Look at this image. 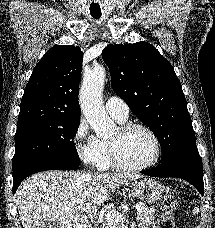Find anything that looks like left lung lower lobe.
I'll return each mask as SVG.
<instances>
[{"label":"left lung lower lobe","mask_w":215,"mask_h":228,"mask_svg":"<svg viewBox=\"0 0 215 228\" xmlns=\"http://www.w3.org/2000/svg\"><path fill=\"white\" fill-rule=\"evenodd\" d=\"M154 177L181 178L197 188L204 195L202 161L196 145L189 146L163 160L157 167L141 171Z\"/></svg>","instance_id":"0a47b994"}]
</instances>
